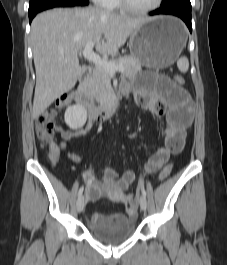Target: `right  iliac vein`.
<instances>
[{"instance_id":"63e3f726","label":"right iliac vein","mask_w":227,"mask_h":265,"mask_svg":"<svg viewBox=\"0 0 227 265\" xmlns=\"http://www.w3.org/2000/svg\"><path fill=\"white\" fill-rule=\"evenodd\" d=\"M84 206H85V200H84V196H80L77 200V203H76V208H77V211L80 213L83 211L84 209Z\"/></svg>"}]
</instances>
